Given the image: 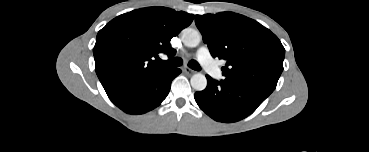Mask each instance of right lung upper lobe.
<instances>
[{"mask_svg":"<svg viewBox=\"0 0 369 152\" xmlns=\"http://www.w3.org/2000/svg\"><path fill=\"white\" fill-rule=\"evenodd\" d=\"M194 16L165 7H149L122 14L102 28L93 49L95 71L107 94L130 83L153 77L169 67L155 59L175 55L172 37L189 26Z\"/></svg>","mask_w":369,"mask_h":152,"instance_id":"obj_1","label":"right lung upper lobe"}]
</instances>
